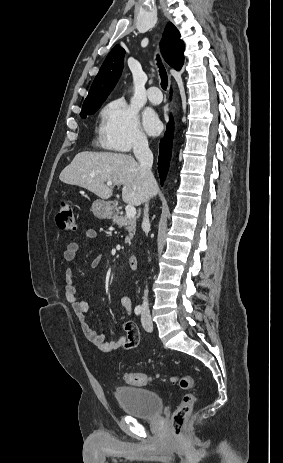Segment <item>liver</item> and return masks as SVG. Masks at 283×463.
I'll return each instance as SVG.
<instances>
[{"mask_svg": "<svg viewBox=\"0 0 283 463\" xmlns=\"http://www.w3.org/2000/svg\"><path fill=\"white\" fill-rule=\"evenodd\" d=\"M59 179L70 185L83 187L102 199H109L114 186L122 185V199L131 205L146 200V189L139 163L131 155L111 152L78 153L60 173ZM112 182L113 186H107ZM156 193V182L151 196Z\"/></svg>", "mask_w": 283, "mask_h": 463, "instance_id": "6515ba94", "label": "liver"}]
</instances>
